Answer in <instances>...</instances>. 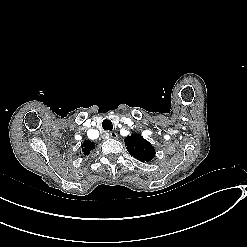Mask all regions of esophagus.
I'll return each instance as SVG.
<instances>
[{
    "mask_svg": "<svg viewBox=\"0 0 247 247\" xmlns=\"http://www.w3.org/2000/svg\"><path fill=\"white\" fill-rule=\"evenodd\" d=\"M110 137L113 138V139H118V135L116 132H110Z\"/></svg>",
    "mask_w": 247,
    "mask_h": 247,
    "instance_id": "1",
    "label": "esophagus"
}]
</instances>
